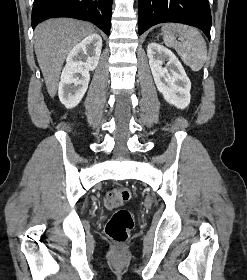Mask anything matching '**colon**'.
<instances>
[{"mask_svg": "<svg viewBox=\"0 0 247 280\" xmlns=\"http://www.w3.org/2000/svg\"><path fill=\"white\" fill-rule=\"evenodd\" d=\"M131 198V191L122 187L114 190V199L121 203L128 201ZM134 227V217L130 210L125 208L117 209L105 226L106 235L116 243L125 242Z\"/></svg>", "mask_w": 247, "mask_h": 280, "instance_id": "obj_1", "label": "colon"}]
</instances>
